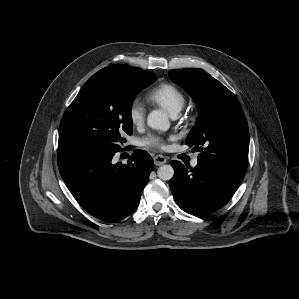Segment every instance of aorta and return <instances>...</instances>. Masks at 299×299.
Here are the masks:
<instances>
[{
    "label": "aorta",
    "mask_w": 299,
    "mask_h": 299,
    "mask_svg": "<svg viewBox=\"0 0 299 299\" xmlns=\"http://www.w3.org/2000/svg\"><path fill=\"white\" fill-rule=\"evenodd\" d=\"M147 124L152 129L162 131H167L170 127L167 114L162 110L151 111L147 116ZM157 175L161 180H170L174 175V169L171 165H162L158 168Z\"/></svg>",
    "instance_id": "762f6f07"
}]
</instances>
